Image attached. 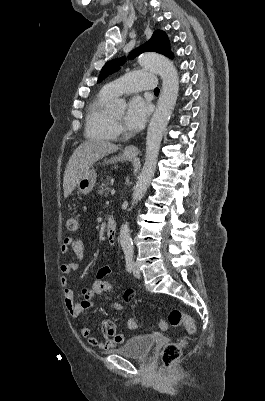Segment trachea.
Returning a JSON list of instances; mask_svg holds the SVG:
<instances>
[{"instance_id": "obj_1", "label": "trachea", "mask_w": 265, "mask_h": 401, "mask_svg": "<svg viewBox=\"0 0 265 401\" xmlns=\"http://www.w3.org/2000/svg\"><path fill=\"white\" fill-rule=\"evenodd\" d=\"M159 92H160V89H159V88H154V93H155V94H159Z\"/></svg>"}]
</instances>
